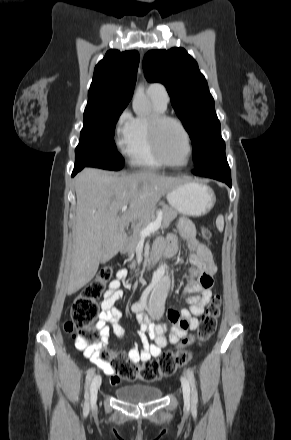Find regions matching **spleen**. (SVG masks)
Here are the masks:
<instances>
[{
	"label": "spleen",
	"instance_id": "spleen-1",
	"mask_svg": "<svg viewBox=\"0 0 291 440\" xmlns=\"http://www.w3.org/2000/svg\"><path fill=\"white\" fill-rule=\"evenodd\" d=\"M216 226H217V229H218L220 232L223 231V229H224V217H223V215H219V216L217 217V219H216Z\"/></svg>",
	"mask_w": 291,
	"mask_h": 440
}]
</instances>
